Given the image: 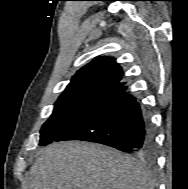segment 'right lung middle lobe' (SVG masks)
Segmentation results:
<instances>
[{
	"instance_id": "dd1d6c3e",
	"label": "right lung middle lobe",
	"mask_w": 188,
	"mask_h": 189,
	"mask_svg": "<svg viewBox=\"0 0 188 189\" xmlns=\"http://www.w3.org/2000/svg\"><path fill=\"white\" fill-rule=\"evenodd\" d=\"M107 94L102 91H85L60 95L52 115L42 126L39 145L52 142Z\"/></svg>"
}]
</instances>
